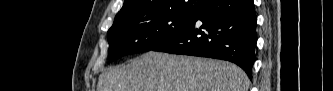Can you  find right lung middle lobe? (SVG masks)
<instances>
[{
    "label": "right lung middle lobe",
    "instance_id": "1",
    "mask_svg": "<svg viewBox=\"0 0 333 91\" xmlns=\"http://www.w3.org/2000/svg\"><path fill=\"white\" fill-rule=\"evenodd\" d=\"M209 2L203 1L204 6ZM195 14L165 12L113 24L107 33L109 60L152 50L186 26Z\"/></svg>",
    "mask_w": 333,
    "mask_h": 91
}]
</instances>
